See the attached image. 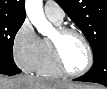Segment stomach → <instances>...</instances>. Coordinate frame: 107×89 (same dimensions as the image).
Here are the masks:
<instances>
[{
	"instance_id": "0dacf381",
	"label": "stomach",
	"mask_w": 107,
	"mask_h": 89,
	"mask_svg": "<svg viewBox=\"0 0 107 89\" xmlns=\"http://www.w3.org/2000/svg\"><path fill=\"white\" fill-rule=\"evenodd\" d=\"M67 89H79V88L69 86Z\"/></svg>"
}]
</instances>
